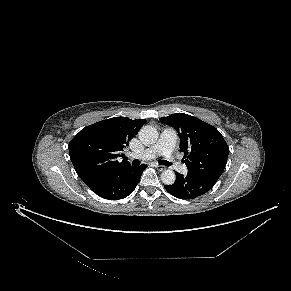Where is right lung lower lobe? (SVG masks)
I'll use <instances>...</instances> for the list:
<instances>
[{
    "mask_svg": "<svg viewBox=\"0 0 291 291\" xmlns=\"http://www.w3.org/2000/svg\"><path fill=\"white\" fill-rule=\"evenodd\" d=\"M146 167V165L129 166L117 171L102 172L84 182L102 198L123 199L133 192Z\"/></svg>",
    "mask_w": 291,
    "mask_h": 291,
    "instance_id": "1",
    "label": "right lung lower lobe"
}]
</instances>
